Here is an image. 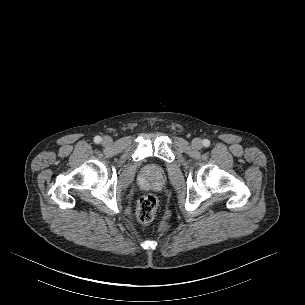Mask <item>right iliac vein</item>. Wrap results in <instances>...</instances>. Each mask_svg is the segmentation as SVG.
<instances>
[{
	"label": "right iliac vein",
	"mask_w": 305,
	"mask_h": 305,
	"mask_svg": "<svg viewBox=\"0 0 305 305\" xmlns=\"http://www.w3.org/2000/svg\"><path fill=\"white\" fill-rule=\"evenodd\" d=\"M102 143L105 145V146H108L112 143V139L109 137V136H105L103 137L102 139Z\"/></svg>",
	"instance_id": "obj_1"
}]
</instances>
